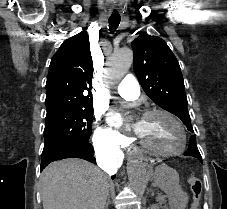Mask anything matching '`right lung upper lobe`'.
<instances>
[{
    "label": "right lung upper lobe",
    "mask_w": 227,
    "mask_h": 209,
    "mask_svg": "<svg viewBox=\"0 0 227 209\" xmlns=\"http://www.w3.org/2000/svg\"><path fill=\"white\" fill-rule=\"evenodd\" d=\"M93 61L86 31L65 40L51 59L46 82L48 105L60 98H92Z\"/></svg>",
    "instance_id": "cb5924a9"
}]
</instances>
